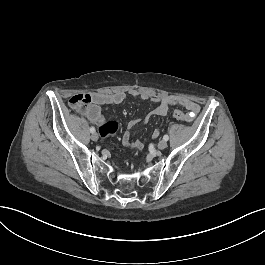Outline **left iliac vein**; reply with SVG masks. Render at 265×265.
<instances>
[{
	"label": "left iliac vein",
	"instance_id": "obj_1",
	"mask_svg": "<svg viewBox=\"0 0 265 265\" xmlns=\"http://www.w3.org/2000/svg\"><path fill=\"white\" fill-rule=\"evenodd\" d=\"M167 147V142L165 140H161L158 144H157V148L160 150H163Z\"/></svg>",
	"mask_w": 265,
	"mask_h": 265
}]
</instances>
